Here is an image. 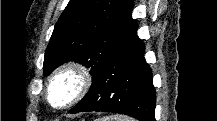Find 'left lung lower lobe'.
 Masks as SVG:
<instances>
[{"label":"left lung lower lobe","mask_w":217,"mask_h":121,"mask_svg":"<svg viewBox=\"0 0 217 121\" xmlns=\"http://www.w3.org/2000/svg\"><path fill=\"white\" fill-rule=\"evenodd\" d=\"M144 51L134 22L96 73L88 93L69 113L106 111L155 121L156 93Z\"/></svg>","instance_id":"obj_1"}]
</instances>
